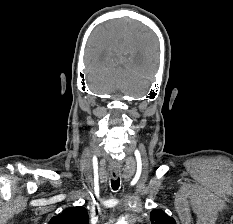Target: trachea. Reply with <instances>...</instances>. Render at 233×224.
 <instances>
[{
  "mask_svg": "<svg viewBox=\"0 0 233 224\" xmlns=\"http://www.w3.org/2000/svg\"><path fill=\"white\" fill-rule=\"evenodd\" d=\"M119 186H120L119 178L111 180V187L113 190H115V191L118 190Z\"/></svg>",
  "mask_w": 233,
  "mask_h": 224,
  "instance_id": "1",
  "label": "trachea"
}]
</instances>
